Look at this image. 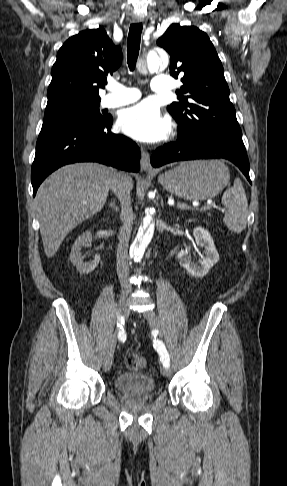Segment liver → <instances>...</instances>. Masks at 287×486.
Returning a JSON list of instances; mask_svg holds the SVG:
<instances>
[{
    "label": "liver",
    "instance_id": "liver-1",
    "mask_svg": "<svg viewBox=\"0 0 287 486\" xmlns=\"http://www.w3.org/2000/svg\"><path fill=\"white\" fill-rule=\"evenodd\" d=\"M116 171L97 163L66 165L39 187L35 205L47 258L55 255L65 237L104 206ZM126 186L132 178L125 173Z\"/></svg>",
    "mask_w": 287,
    "mask_h": 486
}]
</instances>
